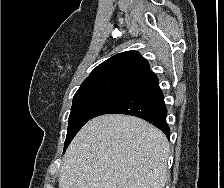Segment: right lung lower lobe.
Listing matches in <instances>:
<instances>
[{
  "instance_id": "right-lung-lower-lobe-1",
  "label": "right lung lower lobe",
  "mask_w": 224,
  "mask_h": 188,
  "mask_svg": "<svg viewBox=\"0 0 224 188\" xmlns=\"http://www.w3.org/2000/svg\"><path fill=\"white\" fill-rule=\"evenodd\" d=\"M103 114L136 116L155 125L168 138L170 136V129L166 123L167 109L164 96L157 76L150 69L132 79L104 103L92 118Z\"/></svg>"
}]
</instances>
